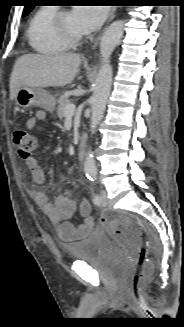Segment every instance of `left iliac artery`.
<instances>
[{"label":"left iliac artery","mask_w":184,"mask_h":327,"mask_svg":"<svg viewBox=\"0 0 184 327\" xmlns=\"http://www.w3.org/2000/svg\"><path fill=\"white\" fill-rule=\"evenodd\" d=\"M91 182H93L94 181V179H92V178H90L89 179ZM93 202H94V204H100V202H101V199H100V196L98 195V194H95L94 195V197H93Z\"/></svg>","instance_id":"obj_1"}]
</instances>
